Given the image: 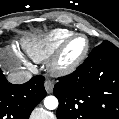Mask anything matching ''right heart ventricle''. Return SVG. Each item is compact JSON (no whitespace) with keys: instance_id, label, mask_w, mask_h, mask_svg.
<instances>
[{"instance_id":"1","label":"right heart ventricle","mask_w":119,"mask_h":119,"mask_svg":"<svg viewBox=\"0 0 119 119\" xmlns=\"http://www.w3.org/2000/svg\"><path fill=\"white\" fill-rule=\"evenodd\" d=\"M71 34L72 32L68 29L56 28L26 40L24 49L33 60L42 62L51 57L59 45Z\"/></svg>"}]
</instances>
